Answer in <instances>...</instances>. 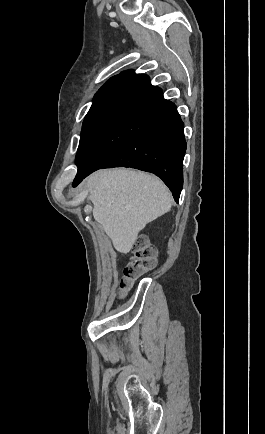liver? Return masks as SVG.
Listing matches in <instances>:
<instances>
[{"instance_id":"1","label":"liver","mask_w":265,"mask_h":434,"mask_svg":"<svg viewBox=\"0 0 265 434\" xmlns=\"http://www.w3.org/2000/svg\"><path fill=\"white\" fill-rule=\"evenodd\" d=\"M93 216L121 254L130 252L140 230L171 208L165 184L144 172L100 170L87 178Z\"/></svg>"}]
</instances>
